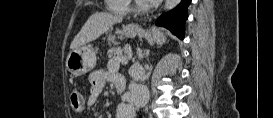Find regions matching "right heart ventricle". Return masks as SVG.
<instances>
[{
	"label": "right heart ventricle",
	"mask_w": 273,
	"mask_h": 118,
	"mask_svg": "<svg viewBox=\"0 0 273 118\" xmlns=\"http://www.w3.org/2000/svg\"><path fill=\"white\" fill-rule=\"evenodd\" d=\"M110 9L116 13H124L128 10V2L125 0H110Z\"/></svg>",
	"instance_id": "e07e8e85"
}]
</instances>
